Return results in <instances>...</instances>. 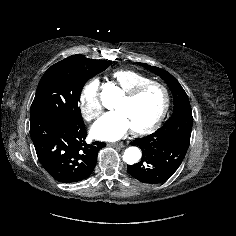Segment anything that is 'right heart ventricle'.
<instances>
[{
	"mask_svg": "<svg viewBox=\"0 0 236 236\" xmlns=\"http://www.w3.org/2000/svg\"><path fill=\"white\" fill-rule=\"evenodd\" d=\"M111 78L124 92L151 81L148 76L132 69H116L111 73Z\"/></svg>",
	"mask_w": 236,
	"mask_h": 236,
	"instance_id": "1",
	"label": "right heart ventricle"
}]
</instances>
